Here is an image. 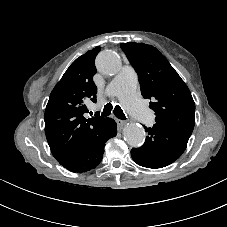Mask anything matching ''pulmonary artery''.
Masks as SVG:
<instances>
[{"mask_svg": "<svg viewBox=\"0 0 227 227\" xmlns=\"http://www.w3.org/2000/svg\"><path fill=\"white\" fill-rule=\"evenodd\" d=\"M137 75L130 66H124L105 88L108 96H117L138 122L148 125L152 120L150 110L135 93Z\"/></svg>", "mask_w": 227, "mask_h": 227, "instance_id": "e3ab8cb5", "label": "pulmonary artery"}]
</instances>
